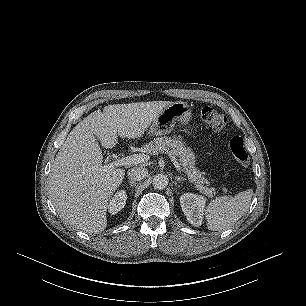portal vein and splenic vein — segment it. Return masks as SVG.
<instances>
[{
	"label": "portal vein and splenic vein",
	"mask_w": 306,
	"mask_h": 306,
	"mask_svg": "<svg viewBox=\"0 0 306 306\" xmlns=\"http://www.w3.org/2000/svg\"><path fill=\"white\" fill-rule=\"evenodd\" d=\"M168 156L170 157L171 161L173 162L175 168L178 171H182V168L180 164L178 163L176 157L172 155L170 152H167ZM150 159V156L148 154H134L127 157H122L117 160H115L112 164H110V167H120V166H127L132 164H139V163H145Z\"/></svg>",
	"instance_id": "18ae733b"
}]
</instances>
